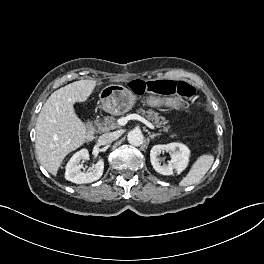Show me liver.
Returning a JSON list of instances; mask_svg holds the SVG:
<instances>
[{
  "mask_svg": "<svg viewBox=\"0 0 264 264\" xmlns=\"http://www.w3.org/2000/svg\"><path fill=\"white\" fill-rule=\"evenodd\" d=\"M95 86V80L70 83L54 91L41 109L36 123V154L41 165L54 176L63 159L86 141V126L73 105L85 102Z\"/></svg>",
  "mask_w": 264,
  "mask_h": 264,
  "instance_id": "liver-1",
  "label": "liver"
}]
</instances>
